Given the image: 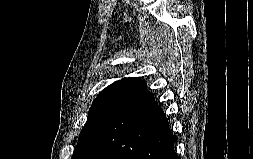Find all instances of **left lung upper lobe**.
<instances>
[{
    "label": "left lung upper lobe",
    "mask_w": 253,
    "mask_h": 159,
    "mask_svg": "<svg viewBox=\"0 0 253 159\" xmlns=\"http://www.w3.org/2000/svg\"><path fill=\"white\" fill-rule=\"evenodd\" d=\"M145 92L146 82L139 78H124L103 89L89 109L87 121L79 134L71 159H88L107 125Z\"/></svg>",
    "instance_id": "5c2ea615"
}]
</instances>
